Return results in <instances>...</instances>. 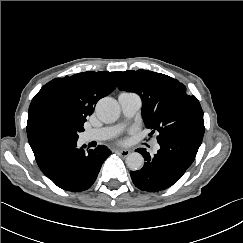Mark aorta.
I'll list each match as a JSON object with an SVG mask.
<instances>
[{"instance_id": "obj_1", "label": "aorta", "mask_w": 243, "mask_h": 243, "mask_svg": "<svg viewBox=\"0 0 243 243\" xmlns=\"http://www.w3.org/2000/svg\"><path fill=\"white\" fill-rule=\"evenodd\" d=\"M97 117L104 123H113L120 116V107L116 100L110 97L100 99L95 107ZM130 170H140L144 165V158L138 152L130 153L126 158Z\"/></svg>"}]
</instances>
